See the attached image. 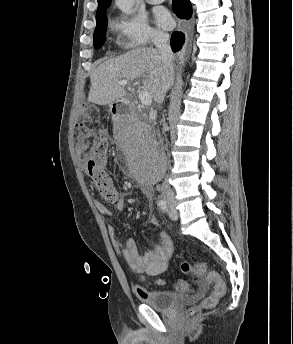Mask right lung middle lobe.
Returning <instances> with one entry per match:
<instances>
[{
	"instance_id": "right-lung-middle-lobe-1",
	"label": "right lung middle lobe",
	"mask_w": 293,
	"mask_h": 344,
	"mask_svg": "<svg viewBox=\"0 0 293 344\" xmlns=\"http://www.w3.org/2000/svg\"><path fill=\"white\" fill-rule=\"evenodd\" d=\"M107 8L108 6L96 13V28L94 31V46L96 49L100 48L105 40V32L107 27Z\"/></svg>"
}]
</instances>
